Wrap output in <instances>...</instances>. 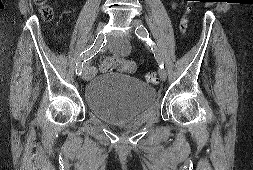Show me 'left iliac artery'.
I'll return each mask as SVG.
<instances>
[{
  "label": "left iliac artery",
  "instance_id": "1",
  "mask_svg": "<svg viewBox=\"0 0 253 170\" xmlns=\"http://www.w3.org/2000/svg\"><path fill=\"white\" fill-rule=\"evenodd\" d=\"M135 33L138 36V38H140L143 41H146V43L151 47V50L154 53L155 59L157 60V62L159 64V67L164 68V62H163L162 56L160 54V51L157 48V46L155 45V43L149 37V33H148L147 29L143 25H140V26L136 27Z\"/></svg>",
  "mask_w": 253,
  "mask_h": 170
}]
</instances>
